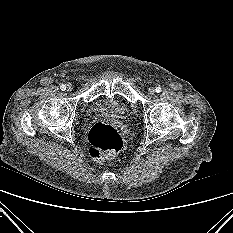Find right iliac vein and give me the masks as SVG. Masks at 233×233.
I'll list each match as a JSON object with an SVG mask.
<instances>
[{
	"instance_id": "1",
	"label": "right iliac vein",
	"mask_w": 233,
	"mask_h": 233,
	"mask_svg": "<svg viewBox=\"0 0 233 233\" xmlns=\"http://www.w3.org/2000/svg\"><path fill=\"white\" fill-rule=\"evenodd\" d=\"M72 89H73V86H72V84L69 83V84L67 85V90H68V91H71Z\"/></svg>"
}]
</instances>
